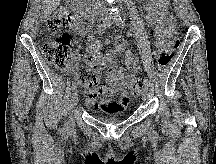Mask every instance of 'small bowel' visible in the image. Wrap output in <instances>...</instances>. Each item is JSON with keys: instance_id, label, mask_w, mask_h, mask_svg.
<instances>
[{"instance_id": "1", "label": "small bowel", "mask_w": 216, "mask_h": 164, "mask_svg": "<svg viewBox=\"0 0 216 164\" xmlns=\"http://www.w3.org/2000/svg\"><path fill=\"white\" fill-rule=\"evenodd\" d=\"M146 11L147 21L155 27V56L158 58L167 45L170 29L175 25L170 2L169 0H149ZM74 21L77 26V17H74ZM114 44L115 48L106 54L102 53V43L97 39H91L87 45L86 52L90 66L97 70L103 66L107 73L108 83V85L96 88L83 87L85 104L92 111L101 110L106 113L123 111L129 103L128 89L141 70L138 58L130 51H126L123 38L116 37ZM118 54H124L126 69L118 65L116 60ZM99 96H119V98L118 100L99 101Z\"/></svg>"}]
</instances>
